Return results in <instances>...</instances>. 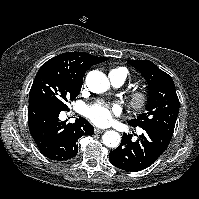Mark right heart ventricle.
I'll list each match as a JSON object with an SVG mask.
<instances>
[{
	"instance_id": "obj_1",
	"label": "right heart ventricle",
	"mask_w": 199,
	"mask_h": 199,
	"mask_svg": "<svg viewBox=\"0 0 199 199\" xmlns=\"http://www.w3.org/2000/svg\"><path fill=\"white\" fill-rule=\"evenodd\" d=\"M111 71H118V72H120L123 75L124 81H125V79L127 77V70L125 68H123V67L113 68V69L110 70V72Z\"/></svg>"
}]
</instances>
